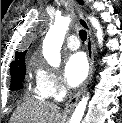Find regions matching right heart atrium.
Instances as JSON below:
<instances>
[{
    "label": "right heart atrium",
    "mask_w": 122,
    "mask_h": 123,
    "mask_svg": "<svg viewBox=\"0 0 122 123\" xmlns=\"http://www.w3.org/2000/svg\"><path fill=\"white\" fill-rule=\"evenodd\" d=\"M35 80V91L44 98L60 99L67 92L60 76L43 64L36 66Z\"/></svg>",
    "instance_id": "right-heart-atrium-1"
}]
</instances>
